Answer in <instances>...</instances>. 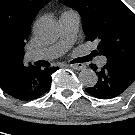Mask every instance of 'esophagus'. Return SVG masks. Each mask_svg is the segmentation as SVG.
<instances>
[{"label":"esophagus","instance_id":"esophagus-1","mask_svg":"<svg viewBox=\"0 0 135 135\" xmlns=\"http://www.w3.org/2000/svg\"><path fill=\"white\" fill-rule=\"evenodd\" d=\"M69 67L75 69V70H82L85 68V65L82 64V63H79V64H70L68 65Z\"/></svg>","mask_w":135,"mask_h":135}]
</instances>
